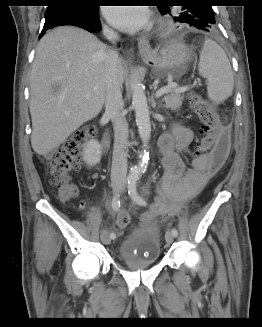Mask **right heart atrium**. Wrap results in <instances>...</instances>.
<instances>
[{"mask_svg": "<svg viewBox=\"0 0 262 327\" xmlns=\"http://www.w3.org/2000/svg\"><path fill=\"white\" fill-rule=\"evenodd\" d=\"M106 30H107L109 33H113V31H112L109 27H106Z\"/></svg>", "mask_w": 262, "mask_h": 327, "instance_id": "right-heart-atrium-1", "label": "right heart atrium"}]
</instances>
